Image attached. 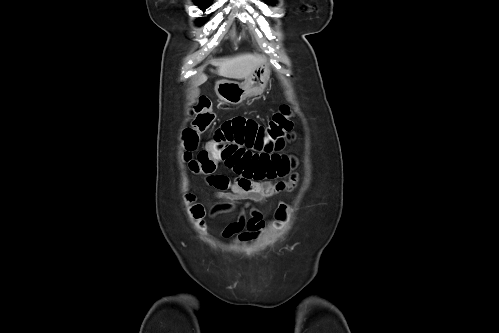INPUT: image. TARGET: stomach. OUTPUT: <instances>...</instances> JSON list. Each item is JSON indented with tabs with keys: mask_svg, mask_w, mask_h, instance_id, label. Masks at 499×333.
Instances as JSON below:
<instances>
[{
	"mask_svg": "<svg viewBox=\"0 0 499 333\" xmlns=\"http://www.w3.org/2000/svg\"><path fill=\"white\" fill-rule=\"evenodd\" d=\"M271 70L267 64L258 66L242 83L220 80L216 82L215 92L222 101L238 105L247 98L261 95L266 88Z\"/></svg>",
	"mask_w": 499,
	"mask_h": 333,
	"instance_id": "1",
	"label": "stomach"
}]
</instances>
